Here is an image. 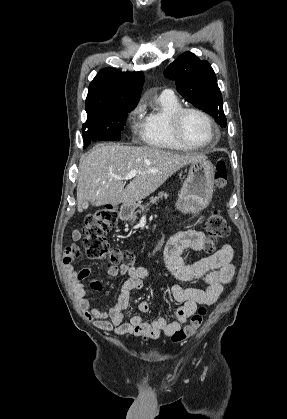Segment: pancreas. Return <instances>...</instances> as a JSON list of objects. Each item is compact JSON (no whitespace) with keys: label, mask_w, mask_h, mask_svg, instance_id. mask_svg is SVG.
Segmentation results:
<instances>
[{"label":"pancreas","mask_w":287,"mask_h":419,"mask_svg":"<svg viewBox=\"0 0 287 419\" xmlns=\"http://www.w3.org/2000/svg\"><path fill=\"white\" fill-rule=\"evenodd\" d=\"M167 196H168V194H167V193L160 192V193L158 194V196H156V197H151V198H150V201H149L148 203H146L145 205H140V206H139V207H140L139 212H142V211L148 210V209H149V207H150L152 204H157V202H158L159 200H161L163 197L167 198ZM135 219H136V218H135Z\"/></svg>","instance_id":"1"}]
</instances>
